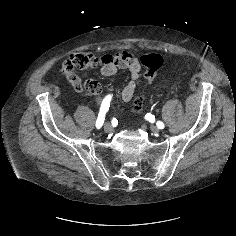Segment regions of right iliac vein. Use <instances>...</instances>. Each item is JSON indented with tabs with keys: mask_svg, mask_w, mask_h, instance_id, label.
<instances>
[{
	"mask_svg": "<svg viewBox=\"0 0 236 236\" xmlns=\"http://www.w3.org/2000/svg\"><path fill=\"white\" fill-rule=\"evenodd\" d=\"M112 130V125L109 122H106L104 124V131L105 132H110Z\"/></svg>",
	"mask_w": 236,
	"mask_h": 236,
	"instance_id": "63e3f726",
	"label": "right iliac vein"
}]
</instances>
